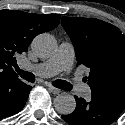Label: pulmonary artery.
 Instances as JSON below:
<instances>
[{"mask_svg": "<svg viewBox=\"0 0 125 125\" xmlns=\"http://www.w3.org/2000/svg\"><path fill=\"white\" fill-rule=\"evenodd\" d=\"M75 59V50L70 42H62L54 55L38 64H27V68L33 70L41 77H50L61 71L69 72ZM79 96H88L90 89L86 85L75 83Z\"/></svg>", "mask_w": 125, "mask_h": 125, "instance_id": "obj_1", "label": "pulmonary artery"}]
</instances>
